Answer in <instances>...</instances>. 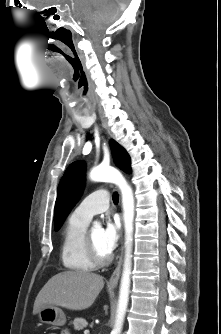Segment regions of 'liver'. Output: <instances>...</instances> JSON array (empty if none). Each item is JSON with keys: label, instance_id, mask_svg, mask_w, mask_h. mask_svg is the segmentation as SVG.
<instances>
[{"label": "liver", "instance_id": "1", "mask_svg": "<svg viewBox=\"0 0 221 334\" xmlns=\"http://www.w3.org/2000/svg\"><path fill=\"white\" fill-rule=\"evenodd\" d=\"M104 287L103 277L83 271H64L54 275L38 293L33 314L51 306L70 310L89 308Z\"/></svg>", "mask_w": 221, "mask_h": 334}]
</instances>
